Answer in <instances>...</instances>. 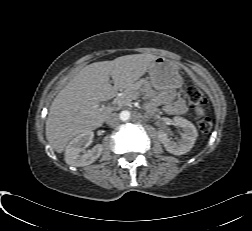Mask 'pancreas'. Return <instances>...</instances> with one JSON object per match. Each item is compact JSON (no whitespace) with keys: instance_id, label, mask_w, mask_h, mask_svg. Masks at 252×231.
Instances as JSON below:
<instances>
[{"instance_id":"obj_1","label":"pancreas","mask_w":252,"mask_h":231,"mask_svg":"<svg viewBox=\"0 0 252 231\" xmlns=\"http://www.w3.org/2000/svg\"><path fill=\"white\" fill-rule=\"evenodd\" d=\"M130 104H131V97L128 95V93H125L124 95L119 96L116 99L117 109H120L123 106H128Z\"/></svg>"}]
</instances>
